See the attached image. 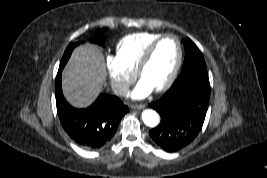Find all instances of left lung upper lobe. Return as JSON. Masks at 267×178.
Masks as SVG:
<instances>
[{"label":"left lung upper lobe","instance_id":"obj_1","mask_svg":"<svg viewBox=\"0 0 267 178\" xmlns=\"http://www.w3.org/2000/svg\"><path fill=\"white\" fill-rule=\"evenodd\" d=\"M183 44L185 47V60L178 79L191 76L208 78L205 60L198 47L189 38L184 39Z\"/></svg>","mask_w":267,"mask_h":178}]
</instances>
